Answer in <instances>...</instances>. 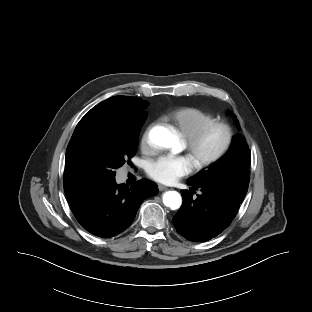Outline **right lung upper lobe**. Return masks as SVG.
<instances>
[{"instance_id":"1","label":"right lung upper lobe","mask_w":312,"mask_h":312,"mask_svg":"<svg viewBox=\"0 0 312 312\" xmlns=\"http://www.w3.org/2000/svg\"><path fill=\"white\" fill-rule=\"evenodd\" d=\"M147 102L139 97L130 96H114L111 97L95 107H93L89 112L99 111V110H112L122 114H135L143 111L147 106ZM65 191L69 198L70 205H75L80 199L89 193H77L69 190L65 187Z\"/></svg>"}]
</instances>
